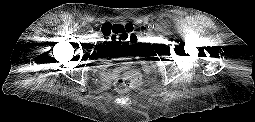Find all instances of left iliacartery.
<instances>
[{
    "instance_id": "1",
    "label": "left iliac artery",
    "mask_w": 255,
    "mask_h": 122,
    "mask_svg": "<svg viewBox=\"0 0 255 122\" xmlns=\"http://www.w3.org/2000/svg\"><path fill=\"white\" fill-rule=\"evenodd\" d=\"M148 28H149L150 30H152V29L154 28V24H153V23H152V24H149Z\"/></svg>"
}]
</instances>
